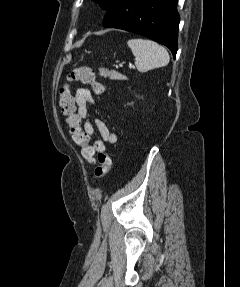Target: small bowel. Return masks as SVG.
I'll use <instances>...</instances> for the list:
<instances>
[{"label": "small bowel", "mask_w": 240, "mask_h": 287, "mask_svg": "<svg viewBox=\"0 0 240 287\" xmlns=\"http://www.w3.org/2000/svg\"><path fill=\"white\" fill-rule=\"evenodd\" d=\"M74 103L77 115L81 120L85 119L83 122L84 131L91 136L94 134L95 128L98 130V137L93 144V147L97 152L105 151V146L107 143H117V136L108 129L103 121L99 119H86L89 106L95 103L93 95L89 89H77L74 97Z\"/></svg>", "instance_id": "1"}]
</instances>
